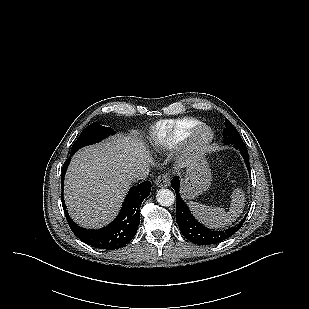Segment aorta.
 <instances>
[{"label": "aorta", "instance_id": "aorta-1", "mask_svg": "<svg viewBox=\"0 0 309 309\" xmlns=\"http://www.w3.org/2000/svg\"><path fill=\"white\" fill-rule=\"evenodd\" d=\"M157 202L162 206H171L175 201L174 193L169 189H160L156 194Z\"/></svg>", "mask_w": 309, "mask_h": 309}]
</instances>
